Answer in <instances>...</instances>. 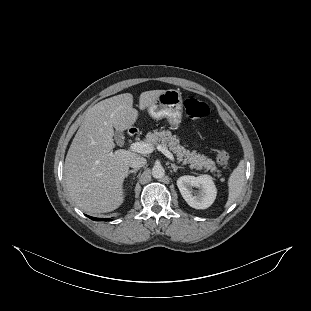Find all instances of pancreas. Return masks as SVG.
Segmentation results:
<instances>
[{
    "instance_id": "obj_1",
    "label": "pancreas",
    "mask_w": 311,
    "mask_h": 311,
    "mask_svg": "<svg viewBox=\"0 0 311 311\" xmlns=\"http://www.w3.org/2000/svg\"><path fill=\"white\" fill-rule=\"evenodd\" d=\"M144 142L153 147L162 145L169 148L176 155L178 161L183 164H190L191 169L217 172V177H221L220 170L217 169L212 159L195 151L187 150L180 144L179 138L173 135L170 130L148 132Z\"/></svg>"
}]
</instances>
